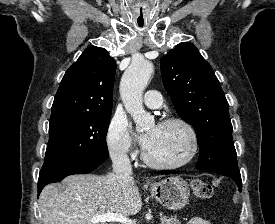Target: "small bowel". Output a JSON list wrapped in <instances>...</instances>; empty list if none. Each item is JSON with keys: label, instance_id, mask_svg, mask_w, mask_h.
<instances>
[{"label": "small bowel", "instance_id": "c3829d8e", "mask_svg": "<svg viewBox=\"0 0 275 224\" xmlns=\"http://www.w3.org/2000/svg\"><path fill=\"white\" fill-rule=\"evenodd\" d=\"M186 224H210V222L200 217H193Z\"/></svg>", "mask_w": 275, "mask_h": 224}]
</instances>
